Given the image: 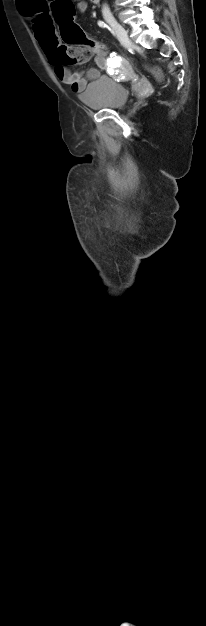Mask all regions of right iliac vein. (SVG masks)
<instances>
[{
    "instance_id": "obj_1",
    "label": "right iliac vein",
    "mask_w": 206,
    "mask_h": 626,
    "mask_svg": "<svg viewBox=\"0 0 206 626\" xmlns=\"http://www.w3.org/2000/svg\"><path fill=\"white\" fill-rule=\"evenodd\" d=\"M106 21L113 27L121 42L125 46H129L131 44V41L125 28L120 23H118L117 20L112 16L107 17Z\"/></svg>"
}]
</instances>
